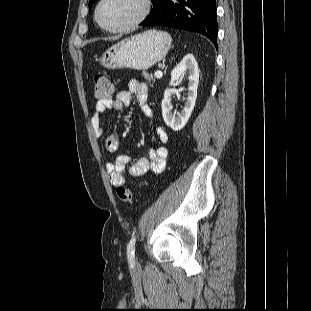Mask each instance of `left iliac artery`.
<instances>
[{
    "instance_id": "obj_1",
    "label": "left iliac artery",
    "mask_w": 311,
    "mask_h": 311,
    "mask_svg": "<svg viewBox=\"0 0 311 311\" xmlns=\"http://www.w3.org/2000/svg\"><path fill=\"white\" fill-rule=\"evenodd\" d=\"M136 236L132 237L127 245V257L130 264L134 263Z\"/></svg>"
}]
</instances>
